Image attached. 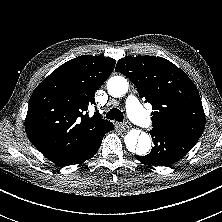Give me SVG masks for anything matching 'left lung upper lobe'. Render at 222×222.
<instances>
[{
	"mask_svg": "<svg viewBox=\"0 0 222 222\" xmlns=\"http://www.w3.org/2000/svg\"><path fill=\"white\" fill-rule=\"evenodd\" d=\"M116 71L127 76L154 109L153 128H171L202 135L205 114L199 92L191 79L162 57L121 59Z\"/></svg>",
	"mask_w": 222,
	"mask_h": 222,
	"instance_id": "obj_1",
	"label": "left lung upper lobe"
}]
</instances>
